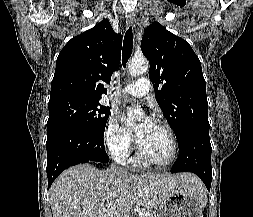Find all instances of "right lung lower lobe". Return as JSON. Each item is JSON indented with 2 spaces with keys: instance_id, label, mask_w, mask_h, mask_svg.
<instances>
[{
  "instance_id": "obj_1",
  "label": "right lung lower lobe",
  "mask_w": 253,
  "mask_h": 217,
  "mask_svg": "<svg viewBox=\"0 0 253 217\" xmlns=\"http://www.w3.org/2000/svg\"><path fill=\"white\" fill-rule=\"evenodd\" d=\"M103 137L104 134L77 126H62L47 131L48 188L70 166L107 163L109 157L105 152Z\"/></svg>"
}]
</instances>
